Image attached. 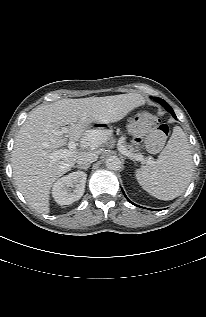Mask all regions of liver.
I'll use <instances>...</instances> for the list:
<instances>
[{
    "label": "liver",
    "instance_id": "obj_1",
    "mask_svg": "<svg viewBox=\"0 0 206 317\" xmlns=\"http://www.w3.org/2000/svg\"><path fill=\"white\" fill-rule=\"evenodd\" d=\"M144 104L137 93L105 97L62 99L31 111L15 138L11 155L13 178L29 205L38 213L50 212V189L67 173L85 152L100 146L105 139L86 135L93 123L109 124L123 119L130 111ZM67 125V126H66ZM67 127L60 134L61 127ZM81 140V150L66 158L52 161L48 156L67 144ZM90 142L89 144L84 142Z\"/></svg>",
    "mask_w": 206,
    "mask_h": 317
}]
</instances>
